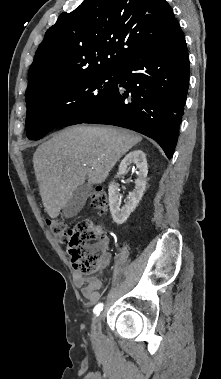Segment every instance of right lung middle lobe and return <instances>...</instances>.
I'll use <instances>...</instances> for the list:
<instances>
[{
  "label": "right lung middle lobe",
  "mask_w": 221,
  "mask_h": 379,
  "mask_svg": "<svg viewBox=\"0 0 221 379\" xmlns=\"http://www.w3.org/2000/svg\"><path fill=\"white\" fill-rule=\"evenodd\" d=\"M116 74L117 69L81 75L50 86L26 102L28 139L39 140L77 117L89 116L108 100Z\"/></svg>",
  "instance_id": "right-lung-middle-lobe-1"
}]
</instances>
